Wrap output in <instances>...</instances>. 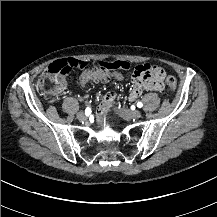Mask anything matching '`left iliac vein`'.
Returning a JSON list of instances; mask_svg holds the SVG:
<instances>
[{
	"label": "left iliac vein",
	"mask_w": 217,
	"mask_h": 217,
	"mask_svg": "<svg viewBox=\"0 0 217 217\" xmlns=\"http://www.w3.org/2000/svg\"><path fill=\"white\" fill-rule=\"evenodd\" d=\"M120 113L122 117L125 118L126 120H129L132 118L139 119L141 117V112L138 110L131 111V110H128L127 108H122L120 109Z\"/></svg>",
	"instance_id": "4c4485c4"
}]
</instances>
